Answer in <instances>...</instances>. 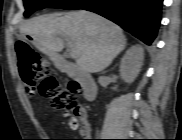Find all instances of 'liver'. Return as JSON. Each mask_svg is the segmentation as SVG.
Here are the masks:
<instances>
[{
    "label": "liver",
    "instance_id": "obj_1",
    "mask_svg": "<svg viewBox=\"0 0 182 140\" xmlns=\"http://www.w3.org/2000/svg\"><path fill=\"white\" fill-rule=\"evenodd\" d=\"M20 31L33 38L41 51L53 56L64 48L66 37L79 51L76 67L85 73H97L107 68L125 48L122 29L95 13L79 10L61 16L42 15L25 22Z\"/></svg>",
    "mask_w": 182,
    "mask_h": 140
}]
</instances>
